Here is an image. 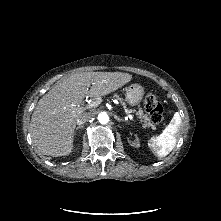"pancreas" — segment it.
Masks as SVG:
<instances>
[{"label":"pancreas","mask_w":221,"mask_h":221,"mask_svg":"<svg viewBox=\"0 0 221 221\" xmlns=\"http://www.w3.org/2000/svg\"><path fill=\"white\" fill-rule=\"evenodd\" d=\"M114 97L121 101V98H119L118 95H114ZM123 105H124V103H123ZM137 115L140 118V121L143 122L144 127H151V128L155 127V125L151 121V118L147 114H144L143 110L140 109L137 112Z\"/></svg>","instance_id":"pancreas-1"}]
</instances>
